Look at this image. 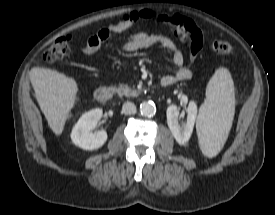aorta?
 <instances>
[{
	"label": "aorta",
	"mask_w": 275,
	"mask_h": 215,
	"mask_svg": "<svg viewBox=\"0 0 275 215\" xmlns=\"http://www.w3.org/2000/svg\"><path fill=\"white\" fill-rule=\"evenodd\" d=\"M140 113L145 117H153L156 114V106L153 102H142L140 104Z\"/></svg>",
	"instance_id": "1"
}]
</instances>
